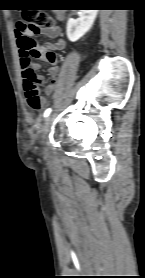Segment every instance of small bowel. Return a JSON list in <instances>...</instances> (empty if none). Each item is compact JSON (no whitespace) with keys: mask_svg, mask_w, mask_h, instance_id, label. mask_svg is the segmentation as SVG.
I'll use <instances>...</instances> for the list:
<instances>
[{"mask_svg":"<svg viewBox=\"0 0 145 278\" xmlns=\"http://www.w3.org/2000/svg\"><path fill=\"white\" fill-rule=\"evenodd\" d=\"M39 33L54 39L53 43H48L45 46H41L42 53L40 54V58L42 60H44L46 63H48L49 66H50L49 75L51 77V81L45 88V92H46L47 90H51V89L55 88V86L57 84V76H58V73H59V68L57 66V61L56 60L54 62H49L45 58L44 51L49 50V49H52L54 51L62 50L65 47V41L62 37L61 30H60L59 27H53L50 30H43L41 32L32 31V30L27 29V30H25L21 33H15L18 47L21 49V41L23 39H25V38H34V36H36ZM20 56H21V68H22V73H23V71L28 66V62L30 61V58L27 56L26 52H23V51H21ZM30 68L33 71H36V70L39 69V65L38 64H31V62H30ZM38 78H39L40 82H43V80H44L43 76L38 75Z\"/></svg>","mask_w":145,"mask_h":278,"instance_id":"obj_1","label":"small bowel"}]
</instances>
